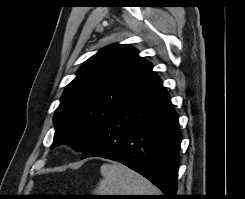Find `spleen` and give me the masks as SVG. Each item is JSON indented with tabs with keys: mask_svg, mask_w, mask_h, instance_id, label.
Returning <instances> with one entry per match:
<instances>
[{
	"mask_svg": "<svg viewBox=\"0 0 245 199\" xmlns=\"http://www.w3.org/2000/svg\"><path fill=\"white\" fill-rule=\"evenodd\" d=\"M100 171L97 195H160L149 180L121 163L103 164Z\"/></svg>",
	"mask_w": 245,
	"mask_h": 199,
	"instance_id": "1",
	"label": "spleen"
}]
</instances>
